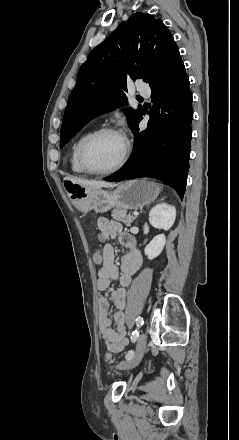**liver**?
<instances>
[{"mask_svg":"<svg viewBox=\"0 0 239 440\" xmlns=\"http://www.w3.org/2000/svg\"><path fill=\"white\" fill-rule=\"evenodd\" d=\"M73 184H79L82 188H115L117 184H108V182H96V180H82V178H64Z\"/></svg>","mask_w":239,"mask_h":440,"instance_id":"1","label":"liver"}]
</instances>
